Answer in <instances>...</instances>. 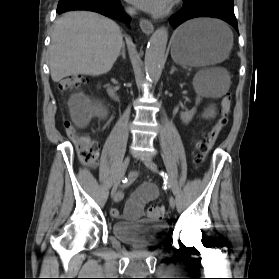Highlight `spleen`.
I'll return each mask as SVG.
<instances>
[{
  "label": "spleen",
  "instance_id": "1",
  "mask_svg": "<svg viewBox=\"0 0 279 279\" xmlns=\"http://www.w3.org/2000/svg\"><path fill=\"white\" fill-rule=\"evenodd\" d=\"M219 24L225 32L232 34L231 30L226 25L221 22H219ZM212 74V70H205L196 75L194 82L199 92L207 96L216 97L226 94L230 86V78L227 76L225 79L217 81L212 78Z\"/></svg>",
  "mask_w": 279,
  "mask_h": 279
}]
</instances>
